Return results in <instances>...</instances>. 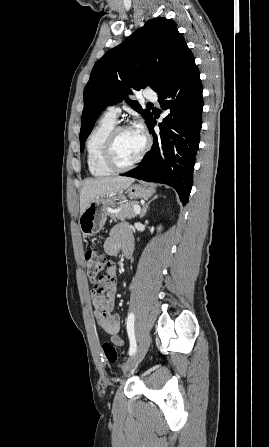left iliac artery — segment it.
<instances>
[{
	"mask_svg": "<svg viewBox=\"0 0 269 447\" xmlns=\"http://www.w3.org/2000/svg\"><path fill=\"white\" fill-rule=\"evenodd\" d=\"M134 321H135V315L134 313H130L127 317L126 325H127V332L130 339V349H129V355H133L136 352V340H135V334H134Z\"/></svg>",
	"mask_w": 269,
	"mask_h": 447,
	"instance_id": "obj_1",
	"label": "left iliac artery"
}]
</instances>
